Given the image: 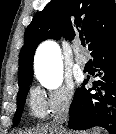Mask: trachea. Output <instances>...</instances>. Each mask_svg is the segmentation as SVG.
<instances>
[{
	"label": "trachea",
	"instance_id": "obj_1",
	"mask_svg": "<svg viewBox=\"0 0 116 134\" xmlns=\"http://www.w3.org/2000/svg\"><path fill=\"white\" fill-rule=\"evenodd\" d=\"M81 44L85 46V39H81Z\"/></svg>",
	"mask_w": 116,
	"mask_h": 134
}]
</instances>
